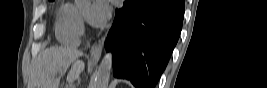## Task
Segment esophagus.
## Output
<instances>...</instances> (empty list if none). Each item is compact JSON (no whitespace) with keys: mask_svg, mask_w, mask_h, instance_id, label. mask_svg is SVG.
Segmentation results:
<instances>
[{"mask_svg":"<svg viewBox=\"0 0 267 88\" xmlns=\"http://www.w3.org/2000/svg\"><path fill=\"white\" fill-rule=\"evenodd\" d=\"M105 42V36L102 37L98 42L93 44L91 50H90V62L97 63L100 59L102 49Z\"/></svg>","mask_w":267,"mask_h":88,"instance_id":"34e87169","label":"esophagus"}]
</instances>
